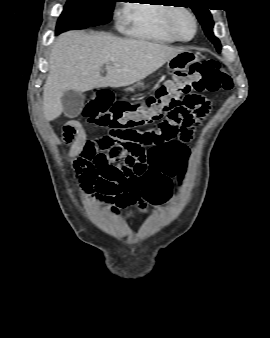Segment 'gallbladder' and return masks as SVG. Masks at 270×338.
I'll return each instance as SVG.
<instances>
[{
    "mask_svg": "<svg viewBox=\"0 0 270 338\" xmlns=\"http://www.w3.org/2000/svg\"><path fill=\"white\" fill-rule=\"evenodd\" d=\"M85 96L82 92L68 90L62 95L61 102L67 117H77L83 109Z\"/></svg>",
    "mask_w": 270,
    "mask_h": 338,
    "instance_id": "bac80fb5",
    "label": "gallbladder"
}]
</instances>
